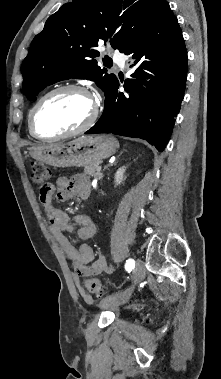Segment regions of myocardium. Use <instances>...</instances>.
<instances>
[{
	"instance_id": "myocardium-1",
	"label": "myocardium",
	"mask_w": 221,
	"mask_h": 379,
	"mask_svg": "<svg viewBox=\"0 0 221 379\" xmlns=\"http://www.w3.org/2000/svg\"><path fill=\"white\" fill-rule=\"evenodd\" d=\"M67 91L80 92V93L88 96L91 99V101L93 103V108H92V112H91L90 116L88 117V119L83 124H81L80 126H78L75 129L67 131L65 133H61V134L54 135V136H43V135L39 134L35 128V115H36L37 110L43 104V102L46 101L49 97H51L55 94L67 92ZM99 112H100V109H99V105H98L96 99L94 98L92 93L86 87L78 85V84H66V85L58 86V87L48 91L47 93H45L43 96H41L38 99V101L34 104V106L31 108V110L29 112V117H28L29 130L35 138L43 140V141H56V140L68 138V137L77 135V134L82 133V132L86 131L87 129H89L98 119Z\"/></svg>"
}]
</instances>
